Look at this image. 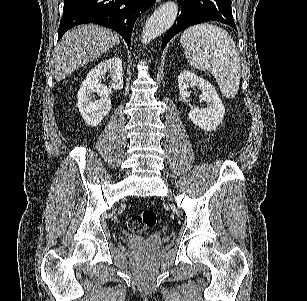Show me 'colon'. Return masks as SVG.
Listing matches in <instances>:
<instances>
[{
  "label": "colon",
  "instance_id": "5ec220e1",
  "mask_svg": "<svg viewBox=\"0 0 307 301\" xmlns=\"http://www.w3.org/2000/svg\"><path fill=\"white\" fill-rule=\"evenodd\" d=\"M156 222V213L151 209H147L131 216L128 219L127 226L130 231L139 233L153 228Z\"/></svg>",
  "mask_w": 307,
  "mask_h": 301
}]
</instances>
